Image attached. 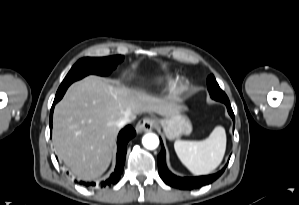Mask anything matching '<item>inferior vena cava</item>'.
Listing matches in <instances>:
<instances>
[{
    "instance_id": "602c4592",
    "label": "inferior vena cava",
    "mask_w": 299,
    "mask_h": 205,
    "mask_svg": "<svg viewBox=\"0 0 299 205\" xmlns=\"http://www.w3.org/2000/svg\"><path fill=\"white\" fill-rule=\"evenodd\" d=\"M130 122H131V119L128 116H125V117L119 119L116 122V125H117V127L122 128L123 126H125L126 124H128Z\"/></svg>"
}]
</instances>
